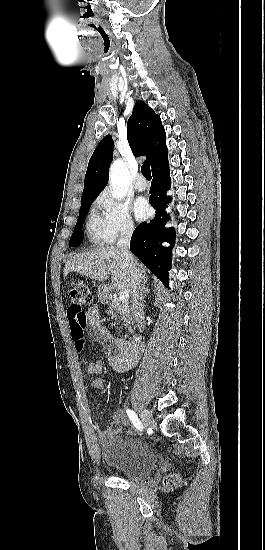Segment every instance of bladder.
<instances>
[{"mask_svg":"<svg viewBox=\"0 0 265 550\" xmlns=\"http://www.w3.org/2000/svg\"><path fill=\"white\" fill-rule=\"evenodd\" d=\"M100 456L107 466L127 479L147 476L157 467L155 453L133 440H117L111 446H104Z\"/></svg>","mask_w":265,"mask_h":550,"instance_id":"1","label":"bladder"}]
</instances>
